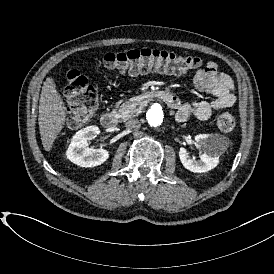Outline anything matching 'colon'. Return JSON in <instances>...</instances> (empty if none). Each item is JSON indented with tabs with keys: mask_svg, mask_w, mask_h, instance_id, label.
I'll return each mask as SVG.
<instances>
[{
	"mask_svg": "<svg viewBox=\"0 0 274 274\" xmlns=\"http://www.w3.org/2000/svg\"><path fill=\"white\" fill-rule=\"evenodd\" d=\"M100 64L121 73L138 74L155 70L179 74L202 67L203 61L198 56L182 55L162 49L142 48L106 53L100 59ZM66 80L64 95L71 108L67 122L71 127H75L81 124L85 116L98 110V91L77 69H69ZM215 124L222 132H231L235 129L237 120L232 112L222 111L217 115Z\"/></svg>",
	"mask_w": 274,
	"mask_h": 274,
	"instance_id": "colon-1",
	"label": "colon"
}]
</instances>
